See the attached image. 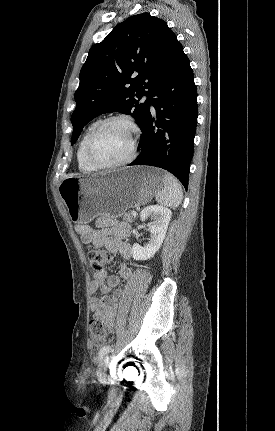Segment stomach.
<instances>
[{
  "instance_id": "0dacf381",
  "label": "stomach",
  "mask_w": 275,
  "mask_h": 431,
  "mask_svg": "<svg viewBox=\"0 0 275 431\" xmlns=\"http://www.w3.org/2000/svg\"><path fill=\"white\" fill-rule=\"evenodd\" d=\"M162 188L160 169L137 166L90 177H67L59 185V194L70 219L82 225L101 214L120 217L127 209L149 202Z\"/></svg>"
}]
</instances>
